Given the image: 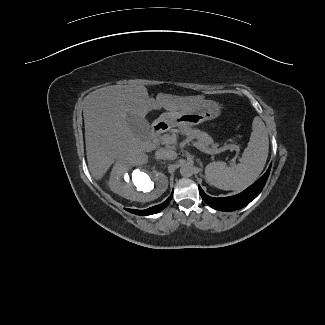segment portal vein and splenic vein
Segmentation results:
<instances>
[{
  "instance_id": "1",
  "label": "portal vein and splenic vein",
  "mask_w": 325,
  "mask_h": 325,
  "mask_svg": "<svg viewBox=\"0 0 325 325\" xmlns=\"http://www.w3.org/2000/svg\"><path fill=\"white\" fill-rule=\"evenodd\" d=\"M173 141H174V138L172 136L168 135V134H165V135H163L161 137V142L163 144H171V143H173ZM194 146L199 148L198 144H196V143L194 144ZM227 149H230L231 151H234V150L239 151V147L237 145H228V146H226V147H224V148H222L220 150H216V151H209V150H203V149H201V150L203 152H205V153H208V154H216V153L222 152V151L227 150ZM232 162L233 163L235 162V158L232 159Z\"/></svg>"
}]
</instances>
